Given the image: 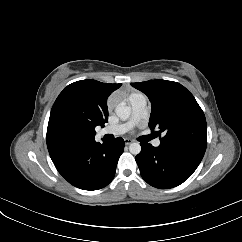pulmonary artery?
I'll return each mask as SVG.
<instances>
[{"mask_svg":"<svg viewBox=\"0 0 242 242\" xmlns=\"http://www.w3.org/2000/svg\"><path fill=\"white\" fill-rule=\"evenodd\" d=\"M129 105L131 108V118L127 123L119 124L115 126H109L100 131L101 135H122L127 132L134 124H136L145 114L147 99L143 94H136L129 99ZM160 145V139L153 141V146L158 147Z\"/></svg>","mask_w":242,"mask_h":242,"instance_id":"e3ab8cb5","label":"pulmonary artery"}]
</instances>
